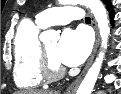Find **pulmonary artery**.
Wrapping results in <instances>:
<instances>
[{"label":"pulmonary artery","mask_w":121,"mask_h":94,"mask_svg":"<svg viewBox=\"0 0 121 94\" xmlns=\"http://www.w3.org/2000/svg\"><path fill=\"white\" fill-rule=\"evenodd\" d=\"M83 13L76 6L53 7L40 12L37 21L45 27L51 25H65L74 20H81Z\"/></svg>","instance_id":"obj_1"}]
</instances>
